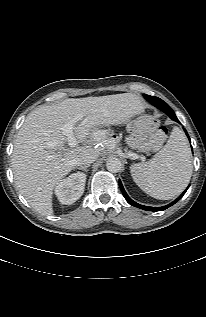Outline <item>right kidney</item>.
<instances>
[{
	"label": "right kidney",
	"instance_id": "right-kidney-1",
	"mask_svg": "<svg viewBox=\"0 0 206 317\" xmlns=\"http://www.w3.org/2000/svg\"><path fill=\"white\" fill-rule=\"evenodd\" d=\"M86 175L81 172L73 173L61 180L55 187V194L62 204L70 205L78 200L85 188Z\"/></svg>",
	"mask_w": 206,
	"mask_h": 317
}]
</instances>
